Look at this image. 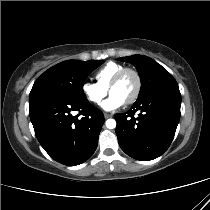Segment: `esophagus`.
Masks as SVG:
<instances>
[{"label": "esophagus", "mask_w": 210, "mask_h": 210, "mask_svg": "<svg viewBox=\"0 0 210 210\" xmlns=\"http://www.w3.org/2000/svg\"><path fill=\"white\" fill-rule=\"evenodd\" d=\"M104 117H105V119H108V118L112 117V115L109 113H104Z\"/></svg>", "instance_id": "esophagus-1"}]
</instances>
